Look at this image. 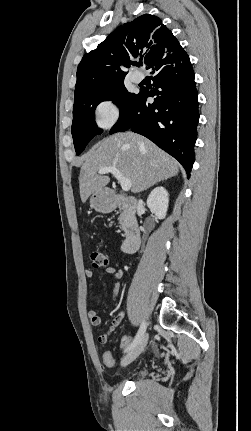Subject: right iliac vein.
<instances>
[{
  "instance_id": "63e3f726",
  "label": "right iliac vein",
  "mask_w": 251,
  "mask_h": 431,
  "mask_svg": "<svg viewBox=\"0 0 251 431\" xmlns=\"http://www.w3.org/2000/svg\"><path fill=\"white\" fill-rule=\"evenodd\" d=\"M148 342V334H144L140 341L122 359L121 364L126 366L133 362L145 349Z\"/></svg>"
}]
</instances>
